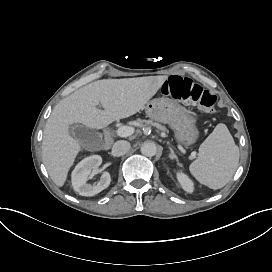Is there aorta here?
<instances>
[{
  "mask_svg": "<svg viewBox=\"0 0 272 272\" xmlns=\"http://www.w3.org/2000/svg\"><path fill=\"white\" fill-rule=\"evenodd\" d=\"M157 146L154 143H144L141 146V153L147 157H153L157 154Z\"/></svg>",
  "mask_w": 272,
  "mask_h": 272,
  "instance_id": "1",
  "label": "aorta"
}]
</instances>
